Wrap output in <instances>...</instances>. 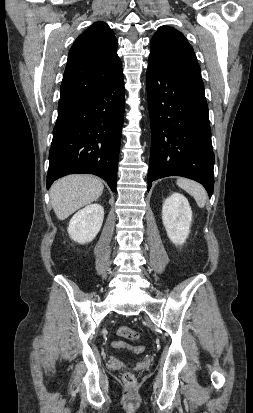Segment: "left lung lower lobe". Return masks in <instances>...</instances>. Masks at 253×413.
I'll return each mask as SVG.
<instances>
[{"instance_id":"obj_1","label":"left lung lower lobe","mask_w":253,"mask_h":413,"mask_svg":"<svg viewBox=\"0 0 253 413\" xmlns=\"http://www.w3.org/2000/svg\"><path fill=\"white\" fill-rule=\"evenodd\" d=\"M151 123L148 191L152 181L182 176L201 183L211 197L214 153L204 90L149 58L146 74Z\"/></svg>"}]
</instances>
